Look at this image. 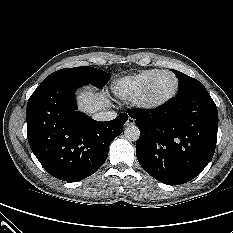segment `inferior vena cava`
<instances>
[{"label": "inferior vena cava", "mask_w": 233, "mask_h": 233, "mask_svg": "<svg viewBox=\"0 0 233 233\" xmlns=\"http://www.w3.org/2000/svg\"><path fill=\"white\" fill-rule=\"evenodd\" d=\"M116 117L117 113L115 111H102L93 115V118L97 121H110Z\"/></svg>", "instance_id": "inferior-vena-cava-1"}]
</instances>
